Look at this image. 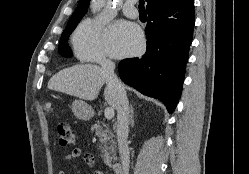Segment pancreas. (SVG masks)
Listing matches in <instances>:
<instances>
[{"mask_svg":"<svg viewBox=\"0 0 249 174\" xmlns=\"http://www.w3.org/2000/svg\"><path fill=\"white\" fill-rule=\"evenodd\" d=\"M91 130H95L96 135L99 137V148L102 152V160L107 166L112 167V161L116 159V142L114 134L106 124H100L99 121L92 125Z\"/></svg>","mask_w":249,"mask_h":174,"instance_id":"pancreas-1","label":"pancreas"}]
</instances>
